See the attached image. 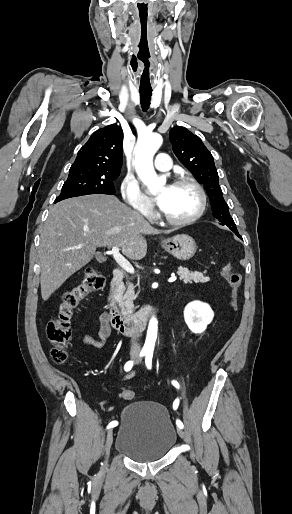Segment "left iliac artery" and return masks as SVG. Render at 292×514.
<instances>
[{
  "instance_id": "1",
  "label": "left iliac artery",
  "mask_w": 292,
  "mask_h": 514,
  "mask_svg": "<svg viewBox=\"0 0 292 514\" xmlns=\"http://www.w3.org/2000/svg\"><path fill=\"white\" fill-rule=\"evenodd\" d=\"M152 357H153V353H152V352H148V353L146 354V357H145V364H146V367H147L149 370H151V368H152ZM171 383H172V385H173L174 387H176L177 389H179V388H180V385H179V383H178L177 381L173 380ZM178 405H179V400L177 399V400H175V401H174V403H173V409H174V410H176V409L178 408ZM176 425H177L179 428H181V429H183V428H184L183 423H182L179 419H177V420H176Z\"/></svg>"
}]
</instances>
